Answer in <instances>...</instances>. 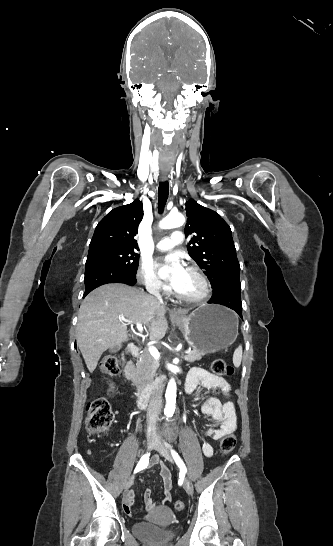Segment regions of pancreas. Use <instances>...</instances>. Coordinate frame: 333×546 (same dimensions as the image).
Returning a JSON list of instances; mask_svg holds the SVG:
<instances>
[{
    "label": "pancreas",
    "instance_id": "obj_1",
    "mask_svg": "<svg viewBox=\"0 0 333 546\" xmlns=\"http://www.w3.org/2000/svg\"><path fill=\"white\" fill-rule=\"evenodd\" d=\"M205 355L204 351L194 349L191 353H188L185 356L186 361L193 363L197 360H200L202 356ZM158 369V363L149 353V351H144L139 360L136 362V371L131 376V380L134 385L139 390H143L148 384H150L154 377L156 376V371Z\"/></svg>",
    "mask_w": 333,
    "mask_h": 546
}]
</instances>
